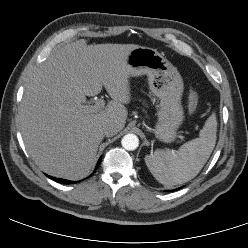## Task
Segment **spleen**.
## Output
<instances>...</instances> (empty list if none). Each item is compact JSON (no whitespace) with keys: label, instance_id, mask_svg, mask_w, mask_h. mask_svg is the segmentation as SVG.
I'll return each mask as SVG.
<instances>
[{"label":"spleen","instance_id":"obj_1","mask_svg":"<svg viewBox=\"0 0 248 248\" xmlns=\"http://www.w3.org/2000/svg\"><path fill=\"white\" fill-rule=\"evenodd\" d=\"M217 118L213 113L205 122L199 138L183 144L178 150H157L145 157V163L163 185L183 184L198 175L209 159L215 144Z\"/></svg>","mask_w":248,"mask_h":248}]
</instances>
